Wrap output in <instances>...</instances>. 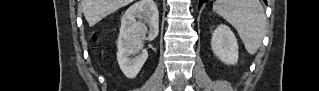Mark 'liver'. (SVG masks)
Returning <instances> with one entry per match:
<instances>
[{
	"instance_id": "1",
	"label": "liver",
	"mask_w": 319,
	"mask_h": 91,
	"mask_svg": "<svg viewBox=\"0 0 319 91\" xmlns=\"http://www.w3.org/2000/svg\"><path fill=\"white\" fill-rule=\"evenodd\" d=\"M133 0H82L81 7L89 26H94Z\"/></svg>"
}]
</instances>
